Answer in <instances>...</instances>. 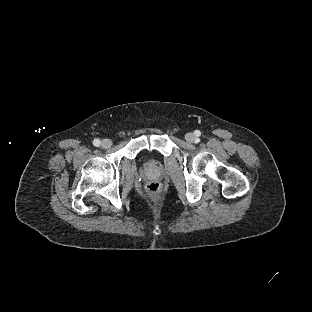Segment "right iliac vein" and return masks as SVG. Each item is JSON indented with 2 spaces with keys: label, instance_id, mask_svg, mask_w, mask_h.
I'll list each match as a JSON object with an SVG mask.
<instances>
[{
  "label": "right iliac vein",
  "instance_id": "obj_1",
  "mask_svg": "<svg viewBox=\"0 0 312 312\" xmlns=\"http://www.w3.org/2000/svg\"><path fill=\"white\" fill-rule=\"evenodd\" d=\"M111 145H112V143H111V141L109 139H104L101 142V147L104 148V149L109 148Z\"/></svg>",
  "mask_w": 312,
  "mask_h": 312
}]
</instances>
